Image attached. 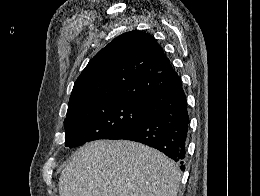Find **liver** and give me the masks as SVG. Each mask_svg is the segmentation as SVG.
<instances>
[{
	"label": "liver",
	"mask_w": 260,
	"mask_h": 196,
	"mask_svg": "<svg viewBox=\"0 0 260 196\" xmlns=\"http://www.w3.org/2000/svg\"><path fill=\"white\" fill-rule=\"evenodd\" d=\"M180 170L162 152L129 140H96L72 154L60 196H177Z\"/></svg>",
	"instance_id": "liver-1"
}]
</instances>
